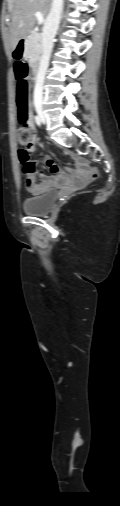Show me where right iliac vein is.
Here are the masks:
<instances>
[{
  "label": "right iliac vein",
  "mask_w": 120,
  "mask_h": 506,
  "mask_svg": "<svg viewBox=\"0 0 120 506\" xmlns=\"http://www.w3.org/2000/svg\"><path fill=\"white\" fill-rule=\"evenodd\" d=\"M36 110H37V112H38V114H39V116H40V118H41L42 122H43V123H45V121H46V119H45V115H44V112H43V110H42V107H41L39 104H38V105H36Z\"/></svg>",
  "instance_id": "right-iliac-vein-1"
}]
</instances>
